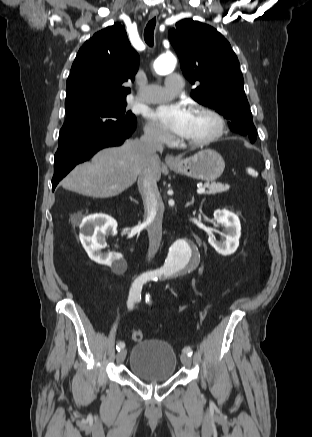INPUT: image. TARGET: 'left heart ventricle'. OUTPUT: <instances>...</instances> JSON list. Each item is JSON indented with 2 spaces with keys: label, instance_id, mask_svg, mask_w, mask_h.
<instances>
[{
  "label": "left heart ventricle",
  "instance_id": "b2bd125f",
  "mask_svg": "<svg viewBox=\"0 0 312 437\" xmlns=\"http://www.w3.org/2000/svg\"><path fill=\"white\" fill-rule=\"evenodd\" d=\"M215 127L214 121L203 114L192 112V117L187 133L182 137L184 140H196L210 134Z\"/></svg>",
  "mask_w": 312,
  "mask_h": 437
}]
</instances>
